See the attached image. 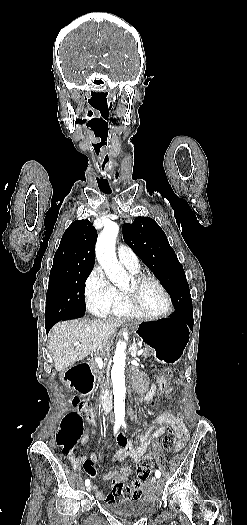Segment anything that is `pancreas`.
<instances>
[{
  "instance_id": "pancreas-1",
  "label": "pancreas",
  "mask_w": 247,
  "mask_h": 525,
  "mask_svg": "<svg viewBox=\"0 0 247 525\" xmlns=\"http://www.w3.org/2000/svg\"><path fill=\"white\" fill-rule=\"evenodd\" d=\"M146 355H143V360H148L149 355H151L152 351H155V348H152L151 346H147L145 349ZM91 369H93V373H102L100 370V367H98L97 363H94V357H91L88 361Z\"/></svg>"
}]
</instances>
